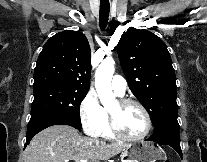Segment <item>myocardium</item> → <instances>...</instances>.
Segmentation results:
<instances>
[{"label": "myocardium", "instance_id": "myocardium-1", "mask_svg": "<svg viewBox=\"0 0 207 162\" xmlns=\"http://www.w3.org/2000/svg\"><path fill=\"white\" fill-rule=\"evenodd\" d=\"M116 103L119 109H124L130 105L137 106L143 112L145 116L146 127H145V130L139 135H136V136L125 135L124 133L121 132L115 116L111 112L108 111L109 126H110V129L113 135L117 138L124 139V140H130V141H137V140H141L145 138L152 129V119H151L148 109L141 102L135 99H129V98L120 99Z\"/></svg>", "mask_w": 207, "mask_h": 162}]
</instances>
